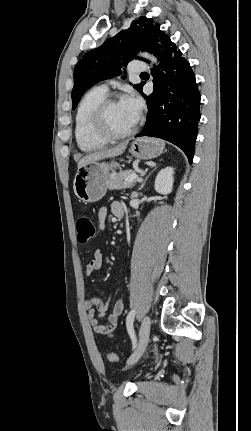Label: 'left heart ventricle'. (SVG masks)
Here are the masks:
<instances>
[{
	"label": "left heart ventricle",
	"instance_id": "b2bd125f",
	"mask_svg": "<svg viewBox=\"0 0 251 431\" xmlns=\"http://www.w3.org/2000/svg\"><path fill=\"white\" fill-rule=\"evenodd\" d=\"M107 124L114 132L129 130L135 123V116L120 101L111 104L106 114Z\"/></svg>",
	"mask_w": 251,
	"mask_h": 431
}]
</instances>
